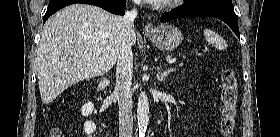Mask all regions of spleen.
<instances>
[{"label": "spleen", "mask_w": 280, "mask_h": 137, "mask_svg": "<svg viewBox=\"0 0 280 137\" xmlns=\"http://www.w3.org/2000/svg\"><path fill=\"white\" fill-rule=\"evenodd\" d=\"M204 36L205 39L213 44V46L219 50H224L227 48V43L226 41L216 32L210 30V29H205L204 30Z\"/></svg>", "instance_id": "1"}]
</instances>
